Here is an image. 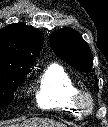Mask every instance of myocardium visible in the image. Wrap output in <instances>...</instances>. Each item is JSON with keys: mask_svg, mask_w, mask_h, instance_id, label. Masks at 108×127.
Returning <instances> with one entry per match:
<instances>
[{"mask_svg": "<svg viewBox=\"0 0 108 127\" xmlns=\"http://www.w3.org/2000/svg\"><path fill=\"white\" fill-rule=\"evenodd\" d=\"M74 103L77 109H79L82 113H89L94 108V100L92 95L85 90H77Z\"/></svg>", "mask_w": 108, "mask_h": 127, "instance_id": "1", "label": "myocardium"}]
</instances>
